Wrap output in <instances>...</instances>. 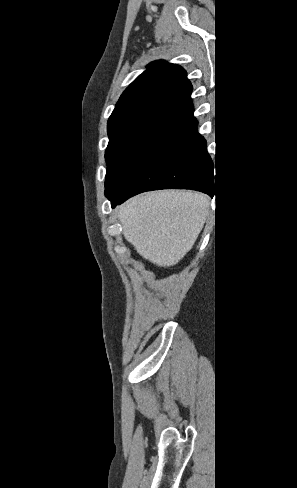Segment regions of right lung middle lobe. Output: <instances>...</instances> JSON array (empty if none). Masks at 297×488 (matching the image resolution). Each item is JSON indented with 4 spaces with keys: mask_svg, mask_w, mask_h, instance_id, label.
<instances>
[{
    "mask_svg": "<svg viewBox=\"0 0 297 488\" xmlns=\"http://www.w3.org/2000/svg\"><path fill=\"white\" fill-rule=\"evenodd\" d=\"M174 133L137 130L110 138L105 152L108 166L105 196L111 200L124 194L150 159Z\"/></svg>",
    "mask_w": 297,
    "mask_h": 488,
    "instance_id": "dd1d6c3e",
    "label": "right lung middle lobe"
}]
</instances>
